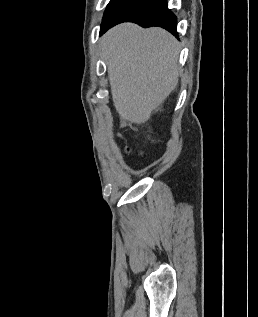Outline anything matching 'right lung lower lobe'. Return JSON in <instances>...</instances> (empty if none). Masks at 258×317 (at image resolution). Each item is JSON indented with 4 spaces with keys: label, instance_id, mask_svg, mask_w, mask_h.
I'll return each instance as SVG.
<instances>
[{
    "label": "right lung lower lobe",
    "instance_id": "98d812e1",
    "mask_svg": "<svg viewBox=\"0 0 258 317\" xmlns=\"http://www.w3.org/2000/svg\"><path fill=\"white\" fill-rule=\"evenodd\" d=\"M122 22H135L142 27L158 26L176 37L177 19L168 9L167 0H111L100 29V36Z\"/></svg>",
    "mask_w": 258,
    "mask_h": 317
}]
</instances>
